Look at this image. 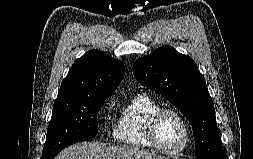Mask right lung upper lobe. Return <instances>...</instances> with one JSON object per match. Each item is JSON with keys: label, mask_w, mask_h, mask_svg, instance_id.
Instances as JSON below:
<instances>
[{"label": "right lung upper lobe", "mask_w": 253, "mask_h": 159, "mask_svg": "<svg viewBox=\"0 0 253 159\" xmlns=\"http://www.w3.org/2000/svg\"><path fill=\"white\" fill-rule=\"evenodd\" d=\"M125 75L120 60L100 50H90L77 59L61 83L56 99L75 96H109Z\"/></svg>", "instance_id": "obj_1"}]
</instances>
